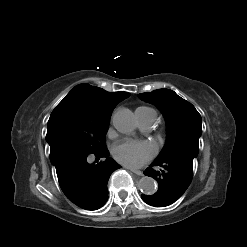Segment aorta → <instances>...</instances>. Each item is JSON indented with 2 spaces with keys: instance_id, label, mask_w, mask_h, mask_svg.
<instances>
[{
  "instance_id": "obj_1",
  "label": "aorta",
  "mask_w": 247,
  "mask_h": 247,
  "mask_svg": "<svg viewBox=\"0 0 247 247\" xmlns=\"http://www.w3.org/2000/svg\"><path fill=\"white\" fill-rule=\"evenodd\" d=\"M112 122L117 131L123 134L132 133L136 127L135 116L127 108L117 110L112 117ZM138 188L144 194L153 195L157 191V184L153 178L145 176L139 180Z\"/></svg>"
}]
</instances>
